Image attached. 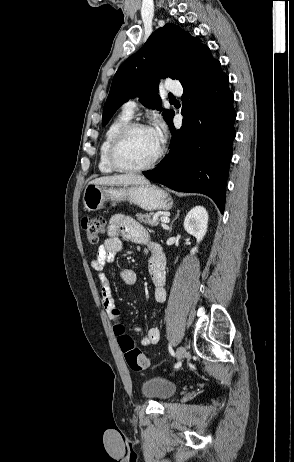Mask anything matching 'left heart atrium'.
<instances>
[{"instance_id":"1","label":"left heart atrium","mask_w":294,"mask_h":462,"mask_svg":"<svg viewBox=\"0 0 294 462\" xmlns=\"http://www.w3.org/2000/svg\"><path fill=\"white\" fill-rule=\"evenodd\" d=\"M151 131L158 143V145L161 147L163 143L165 142L166 139V126L162 122H157L153 128H151Z\"/></svg>"}]
</instances>
